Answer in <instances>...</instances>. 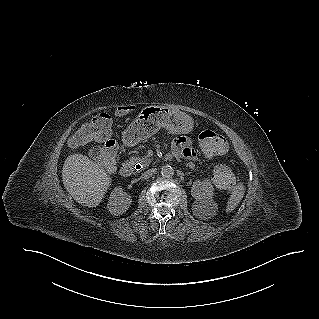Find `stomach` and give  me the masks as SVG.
<instances>
[{"mask_svg": "<svg viewBox=\"0 0 319 319\" xmlns=\"http://www.w3.org/2000/svg\"><path fill=\"white\" fill-rule=\"evenodd\" d=\"M161 128L171 134H189L193 130V120L172 106H150L136 115L126 132L132 141L141 142Z\"/></svg>", "mask_w": 319, "mask_h": 319, "instance_id": "stomach-1", "label": "stomach"}]
</instances>
